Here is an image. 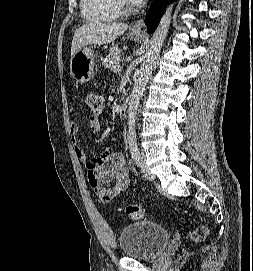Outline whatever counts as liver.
<instances>
[{"label": "liver", "mask_w": 253, "mask_h": 271, "mask_svg": "<svg viewBox=\"0 0 253 271\" xmlns=\"http://www.w3.org/2000/svg\"><path fill=\"white\" fill-rule=\"evenodd\" d=\"M128 28L123 23H89L78 28L71 44V57L87 45H101L113 42Z\"/></svg>", "instance_id": "obj_1"}]
</instances>
